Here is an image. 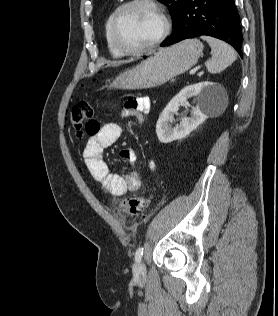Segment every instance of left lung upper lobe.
I'll list each match as a JSON object with an SVG mask.
<instances>
[{
	"label": "left lung upper lobe",
	"mask_w": 278,
	"mask_h": 316,
	"mask_svg": "<svg viewBox=\"0 0 278 316\" xmlns=\"http://www.w3.org/2000/svg\"><path fill=\"white\" fill-rule=\"evenodd\" d=\"M159 1L168 7L171 17H172V21L175 24L179 17L184 0H159Z\"/></svg>",
	"instance_id": "1"
}]
</instances>
